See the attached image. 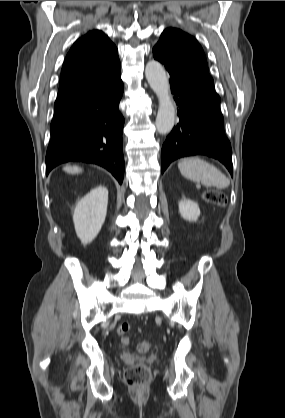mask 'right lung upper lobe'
<instances>
[{
    "label": "right lung upper lobe",
    "instance_id": "cb5924a9",
    "mask_svg": "<svg viewBox=\"0 0 285 418\" xmlns=\"http://www.w3.org/2000/svg\"><path fill=\"white\" fill-rule=\"evenodd\" d=\"M118 51L100 30L89 31L69 50L61 70L54 109L113 81L121 74Z\"/></svg>",
    "mask_w": 285,
    "mask_h": 418
}]
</instances>
